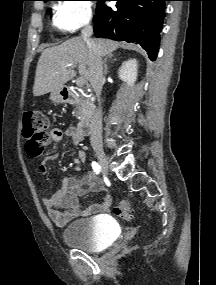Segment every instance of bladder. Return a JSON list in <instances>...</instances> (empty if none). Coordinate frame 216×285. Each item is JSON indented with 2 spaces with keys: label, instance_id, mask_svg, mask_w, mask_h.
<instances>
[{
  "label": "bladder",
  "instance_id": "31cf9c89",
  "mask_svg": "<svg viewBox=\"0 0 216 285\" xmlns=\"http://www.w3.org/2000/svg\"><path fill=\"white\" fill-rule=\"evenodd\" d=\"M117 226L106 216L80 218L69 223L62 233L66 245L86 252L107 249L117 238Z\"/></svg>",
  "mask_w": 216,
  "mask_h": 285
}]
</instances>
